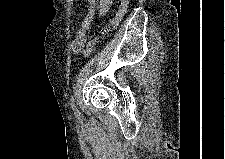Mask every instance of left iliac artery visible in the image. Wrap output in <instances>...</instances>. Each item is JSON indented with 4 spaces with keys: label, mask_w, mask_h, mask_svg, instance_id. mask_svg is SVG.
I'll return each instance as SVG.
<instances>
[{
    "label": "left iliac artery",
    "mask_w": 225,
    "mask_h": 159,
    "mask_svg": "<svg viewBox=\"0 0 225 159\" xmlns=\"http://www.w3.org/2000/svg\"><path fill=\"white\" fill-rule=\"evenodd\" d=\"M70 101H71L72 108H74L75 111L78 112V110H77V108H76V106H75V103H74V97H73V96L71 97ZM78 113H79V112H78ZM78 116L80 117V114H79Z\"/></svg>",
    "instance_id": "obj_1"
}]
</instances>
